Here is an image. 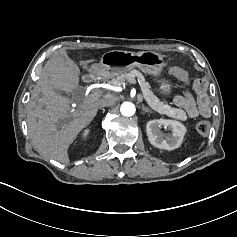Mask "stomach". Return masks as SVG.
Here are the masks:
<instances>
[{"instance_id": "stomach-1", "label": "stomach", "mask_w": 237, "mask_h": 237, "mask_svg": "<svg viewBox=\"0 0 237 237\" xmlns=\"http://www.w3.org/2000/svg\"><path fill=\"white\" fill-rule=\"evenodd\" d=\"M166 59L162 53L147 50L131 52L123 50H111L101 56L97 69L106 78H114L133 68H137L145 75L151 76L157 81V90L166 98L172 97L175 85L171 79L165 77L163 73Z\"/></svg>"}]
</instances>
